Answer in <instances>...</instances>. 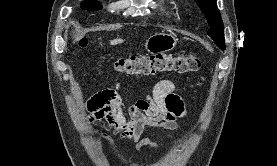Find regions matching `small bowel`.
<instances>
[{
    "instance_id": "obj_1",
    "label": "small bowel",
    "mask_w": 277,
    "mask_h": 166,
    "mask_svg": "<svg viewBox=\"0 0 277 166\" xmlns=\"http://www.w3.org/2000/svg\"><path fill=\"white\" fill-rule=\"evenodd\" d=\"M120 87V83H116L115 88L103 89L89 99V120L107 121L121 131V137L125 141L135 143L139 151L145 148L158 151L157 142L141 136L146 127L161 128L169 132L177 128V120L184 115L185 109L181 98L174 93V83L167 79L159 81L152 93L146 94L130 107L128 116L122 111L118 95ZM166 137L173 139L171 133H167Z\"/></svg>"
}]
</instances>
